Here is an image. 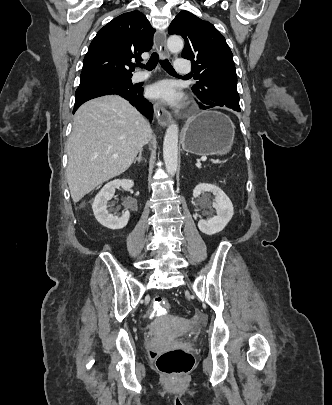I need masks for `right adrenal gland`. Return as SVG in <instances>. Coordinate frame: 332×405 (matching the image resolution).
<instances>
[{
  "label": "right adrenal gland",
  "instance_id": "obj_1",
  "mask_svg": "<svg viewBox=\"0 0 332 405\" xmlns=\"http://www.w3.org/2000/svg\"><path fill=\"white\" fill-rule=\"evenodd\" d=\"M142 152H143V149H141V150L139 151V155H138L137 158H135L134 163H136L137 161H138V162H141V160H142Z\"/></svg>",
  "mask_w": 332,
  "mask_h": 405
}]
</instances>
